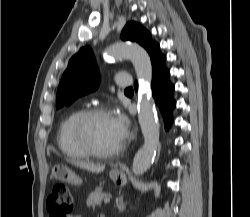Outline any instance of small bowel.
Segmentation results:
<instances>
[{"label": "small bowel", "instance_id": "small-bowel-1", "mask_svg": "<svg viewBox=\"0 0 250 217\" xmlns=\"http://www.w3.org/2000/svg\"><path fill=\"white\" fill-rule=\"evenodd\" d=\"M71 217H80L79 215H72Z\"/></svg>", "mask_w": 250, "mask_h": 217}]
</instances>
